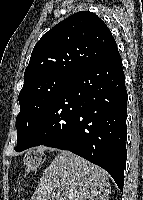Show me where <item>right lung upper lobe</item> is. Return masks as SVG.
Here are the masks:
<instances>
[{"mask_svg": "<svg viewBox=\"0 0 143 200\" xmlns=\"http://www.w3.org/2000/svg\"><path fill=\"white\" fill-rule=\"evenodd\" d=\"M117 49L107 25L81 11L55 25L36 43L24 72V86L51 75L73 76Z\"/></svg>", "mask_w": 143, "mask_h": 200, "instance_id": "right-lung-upper-lobe-1", "label": "right lung upper lobe"}]
</instances>
